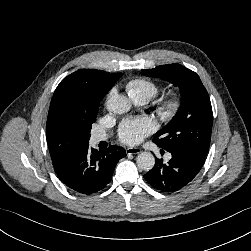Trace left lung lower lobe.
<instances>
[{
  "instance_id": "1",
  "label": "left lung lower lobe",
  "mask_w": 251,
  "mask_h": 251,
  "mask_svg": "<svg viewBox=\"0 0 251 251\" xmlns=\"http://www.w3.org/2000/svg\"><path fill=\"white\" fill-rule=\"evenodd\" d=\"M168 152L172 155L169 162L165 164L157 159L144 178L155 189L172 193L181 190L195 178L204 165L205 157L187 148Z\"/></svg>"
}]
</instances>
